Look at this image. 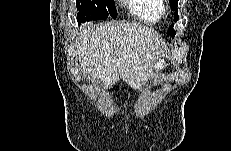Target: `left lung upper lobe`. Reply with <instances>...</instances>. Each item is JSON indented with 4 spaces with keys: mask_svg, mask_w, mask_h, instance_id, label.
<instances>
[{
    "mask_svg": "<svg viewBox=\"0 0 231 151\" xmlns=\"http://www.w3.org/2000/svg\"><path fill=\"white\" fill-rule=\"evenodd\" d=\"M169 2H170L171 9L175 11L174 20L177 21L178 20V9H177L178 0H169ZM168 34H170L171 36H175L176 31L173 29V24L169 27Z\"/></svg>",
    "mask_w": 231,
    "mask_h": 151,
    "instance_id": "left-lung-upper-lobe-1",
    "label": "left lung upper lobe"
}]
</instances>
